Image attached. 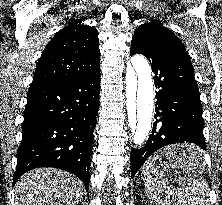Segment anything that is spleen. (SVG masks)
<instances>
[{
    "instance_id": "spleen-1",
    "label": "spleen",
    "mask_w": 222,
    "mask_h": 205,
    "mask_svg": "<svg viewBox=\"0 0 222 205\" xmlns=\"http://www.w3.org/2000/svg\"><path fill=\"white\" fill-rule=\"evenodd\" d=\"M164 158L158 154L151 156L142 166L141 174L145 182V192L156 205H209L208 184L202 177L193 176L179 181L174 191L169 188L170 180L161 169Z\"/></svg>"
}]
</instances>
